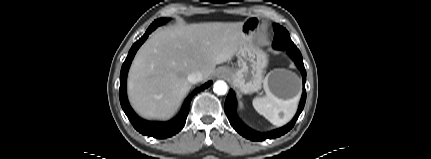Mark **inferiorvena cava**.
<instances>
[{
	"label": "inferior vena cava",
	"instance_id": "obj_1",
	"mask_svg": "<svg viewBox=\"0 0 431 159\" xmlns=\"http://www.w3.org/2000/svg\"><path fill=\"white\" fill-rule=\"evenodd\" d=\"M202 80H203V74L200 71L192 72L188 76V81L191 84H195V83L201 82Z\"/></svg>",
	"mask_w": 431,
	"mask_h": 159
}]
</instances>
